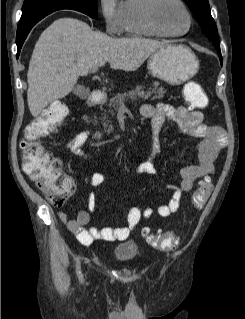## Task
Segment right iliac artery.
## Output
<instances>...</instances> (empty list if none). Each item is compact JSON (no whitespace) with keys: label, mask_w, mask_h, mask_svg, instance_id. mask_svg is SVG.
<instances>
[{"label":"right iliac artery","mask_w":245,"mask_h":319,"mask_svg":"<svg viewBox=\"0 0 245 319\" xmlns=\"http://www.w3.org/2000/svg\"><path fill=\"white\" fill-rule=\"evenodd\" d=\"M77 270L79 272V276H81L80 275V261H79V259L77 260Z\"/></svg>","instance_id":"1"}]
</instances>
